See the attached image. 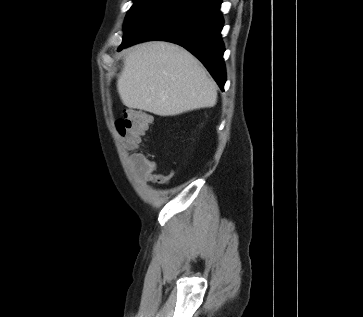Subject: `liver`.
<instances>
[{
  "label": "liver",
  "mask_w": 363,
  "mask_h": 317,
  "mask_svg": "<svg viewBox=\"0 0 363 317\" xmlns=\"http://www.w3.org/2000/svg\"><path fill=\"white\" fill-rule=\"evenodd\" d=\"M122 103L160 116L213 107L217 88L187 50L167 42L132 47L117 80Z\"/></svg>",
  "instance_id": "liver-1"
}]
</instances>
